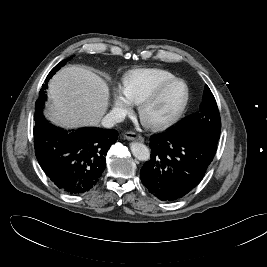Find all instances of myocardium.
Masks as SVG:
<instances>
[{
  "instance_id": "1",
  "label": "myocardium",
  "mask_w": 267,
  "mask_h": 267,
  "mask_svg": "<svg viewBox=\"0 0 267 267\" xmlns=\"http://www.w3.org/2000/svg\"><path fill=\"white\" fill-rule=\"evenodd\" d=\"M177 86H182L184 88V96L179 105L173 111H171L169 114L165 116L151 117L149 115L150 109L154 107L158 102H160L161 99L169 91H171ZM189 99H190V91L188 85L184 81L177 79L171 83L164 85L163 87H161L156 92L149 95L139 103L138 106L139 118L142 124L149 129L159 130L167 128L180 119V117L183 115L188 106Z\"/></svg>"
}]
</instances>
